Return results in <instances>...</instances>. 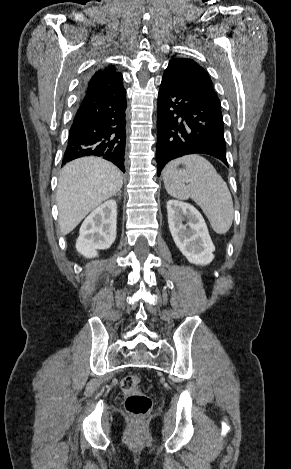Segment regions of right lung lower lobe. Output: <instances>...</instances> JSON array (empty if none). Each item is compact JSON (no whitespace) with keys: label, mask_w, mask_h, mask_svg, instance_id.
Returning a JSON list of instances; mask_svg holds the SVG:
<instances>
[{"label":"right lung lower lobe","mask_w":291,"mask_h":469,"mask_svg":"<svg viewBox=\"0 0 291 469\" xmlns=\"http://www.w3.org/2000/svg\"><path fill=\"white\" fill-rule=\"evenodd\" d=\"M125 110L124 87L81 93L62 165L79 157L98 156L125 172Z\"/></svg>","instance_id":"right-lung-lower-lobe-1"}]
</instances>
